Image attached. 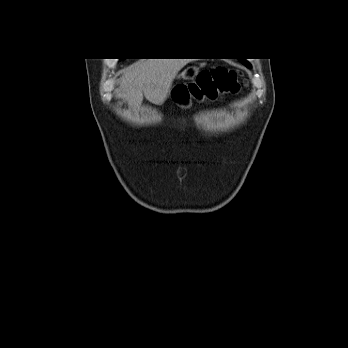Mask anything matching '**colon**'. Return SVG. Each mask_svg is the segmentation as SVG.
Wrapping results in <instances>:
<instances>
[{
    "label": "colon",
    "mask_w": 348,
    "mask_h": 348,
    "mask_svg": "<svg viewBox=\"0 0 348 348\" xmlns=\"http://www.w3.org/2000/svg\"><path fill=\"white\" fill-rule=\"evenodd\" d=\"M241 83L240 74L236 70L217 66L201 71L195 81L176 87L173 98L178 103L200 98L214 99L237 93Z\"/></svg>",
    "instance_id": "1"
}]
</instances>
